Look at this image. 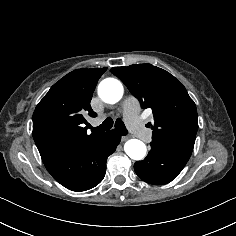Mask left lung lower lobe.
Masks as SVG:
<instances>
[{
  "instance_id": "obj_1",
  "label": "left lung lower lobe",
  "mask_w": 236,
  "mask_h": 236,
  "mask_svg": "<svg viewBox=\"0 0 236 236\" xmlns=\"http://www.w3.org/2000/svg\"><path fill=\"white\" fill-rule=\"evenodd\" d=\"M147 157L134 164L136 174L143 181L163 185L171 182L182 171L191 153L181 151L167 143L151 142Z\"/></svg>"
}]
</instances>
